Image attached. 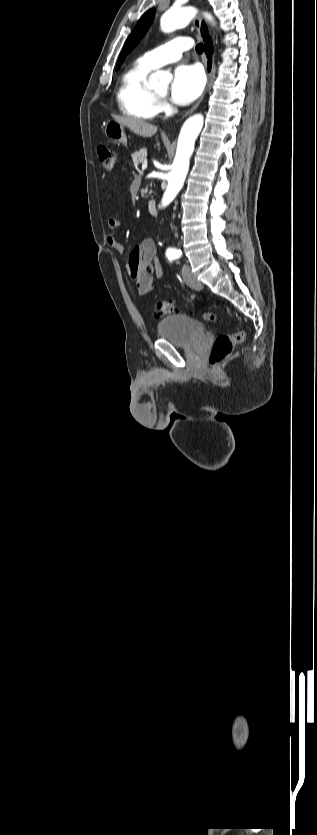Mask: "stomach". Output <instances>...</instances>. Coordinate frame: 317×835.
I'll return each mask as SVG.
<instances>
[{
	"label": "stomach",
	"mask_w": 317,
	"mask_h": 835,
	"mask_svg": "<svg viewBox=\"0 0 317 835\" xmlns=\"http://www.w3.org/2000/svg\"><path fill=\"white\" fill-rule=\"evenodd\" d=\"M106 137L116 143L127 144L124 125L120 122L109 120L104 128Z\"/></svg>",
	"instance_id": "0dacf381"
}]
</instances>
